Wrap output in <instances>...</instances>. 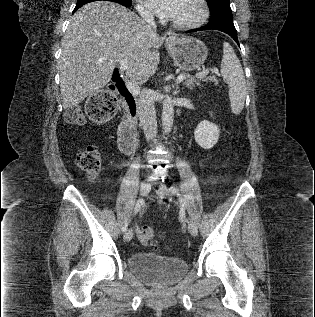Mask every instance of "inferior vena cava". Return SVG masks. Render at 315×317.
I'll list each match as a JSON object with an SVG mask.
<instances>
[{
    "label": "inferior vena cava",
    "instance_id": "1",
    "mask_svg": "<svg viewBox=\"0 0 315 317\" xmlns=\"http://www.w3.org/2000/svg\"><path fill=\"white\" fill-rule=\"evenodd\" d=\"M144 21L152 28L156 29V24L153 15L148 12L141 14ZM140 125L144 131L147 141L153 140L157 133V121L154 101L150 91L143 90L138 101Z\"/></svg>",
    "mask_w": 315,
    "mask_h": 317
}]
</instances>
